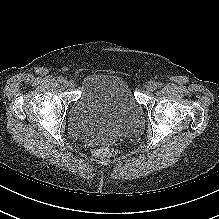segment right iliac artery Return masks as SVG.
I'll return each instance as SVG.
<instances>
[{"instance_id": "1", "label": "right iliac artery", "mask_w": 219, "mask_h": 219, "mask_svg": "<svg viewBox=\"0 0 219 219\" xmlns=\"http://www.w3.org/2000/svg\"><path fill=\"white\" fill-rule=\"evenodd\" d=\"M57 80H58L60 83H62V82L64 81V78H63L62 76H59V77L57 78Z\"/></svg>"}]
</instances>
